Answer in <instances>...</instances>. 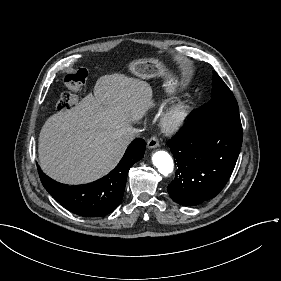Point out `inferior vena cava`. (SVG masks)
<instances>
[{"label":"inferior vena cava","instance_id":"obj_1","mask_svg":"<svg viewBox=\"0 0 281 281\" xmlns=\"http://www.w3.org/2000/svg\"><path fill=\"white\" fill-rule=\"evenodd\" d=\"M137 135H138V131L132 130L131 132H129L127 134L126 140L131 142L135 138V136H137Z\"/></svg>","mask_w":281,"mask_h":281}]
</instances>
